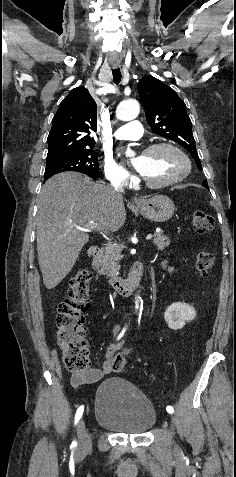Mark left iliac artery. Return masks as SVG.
I'll return each mask as SVG.
<instances>
[{"mask_svg": "<svg viewBox=\"0 0 236 477\" xmlns=\"http://www.w3.org/2000/svg\"><path fill=\"white\" fill-rule=\"evenodd\" d=\"M166 410H167V412H170V411H171V412H174V409H173L172 406H167V407H166Z\"/></svg>", "mask_w": 236, "mask_h": 477, "instance_id": "44dca946", "label": "left iliac artery"}]
</instances>
